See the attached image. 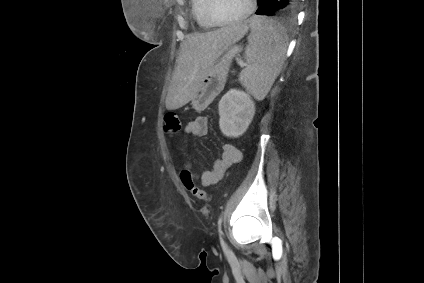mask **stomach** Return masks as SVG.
<instances>
[{
  "label": "stomach",
  "mask_w": 424,
  "mask_h": 283,
  "mask_svg": "<svg viewBox=\"0 0 424 283\" xmlns=\"http://www.w3.org/2000/svg\"><path fill=\"white\" fill-rule=\"evenodd\" d=\"M241 51V46L235 45L232 43L224 51V54L221 59H218L210 71L205 75L204 79L201 82V85L193 97L192 105L194 108L201 110L199 107V102L201 97L207 93L214 86V93H217L221 87L226 74L228 73L230 63L235 55ZM223 76V77H222Z\"/></svg>",
  "instance_id": "stomach-1"
}]
</instances>
